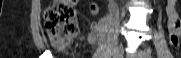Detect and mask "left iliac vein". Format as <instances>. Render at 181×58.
I'll use <instances>...</instances> for the list:
<instances>
[{
	"instance_id": "obj_1",
	"label": "left iliac vein",
	"mask_w": 181,
	"mask_h": 58,
	"mask_svg": "<svg viewBox=\"0 0 181 58\" xmlns=\"http://www.w3.org/2000/svg\"><path fill=\"white\" fill-rule=\"evenodd\" d=\"M131 58H146V56H145V54L144 53H139V54H137V55H132V54H130L129 55Z\"/></svg>"
}]
</instances>
